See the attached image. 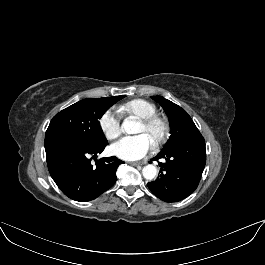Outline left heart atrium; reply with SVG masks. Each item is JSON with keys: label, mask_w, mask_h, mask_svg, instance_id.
Instances as JSON below:
<instances>
[{"label": "left heart atrium", "mask_w": 265, "mask_h": 265, "mask_svg": "<svg viewBox=\"0 0 265 265\" xmlns=\"http://www.w3.org/2000/svg\"><path fill=\"white\" fill-rule=\"evenodd\" d=\"M153 143L145 134L125 136L111 146V151L123 160H138L146 156Z\"/></svg>", "instance_id": "1"}]
</instances>
